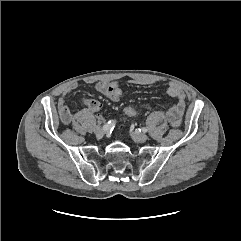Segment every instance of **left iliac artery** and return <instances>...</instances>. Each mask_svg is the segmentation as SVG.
Segmentation results:
<instances>
[{"instance_id": "obj_1", "label": "left iliac artery", "mask_w": 241, "mask_h": 241, "mask_svg": "<svg viewBox=\"0 0 241 241\" xmlns=\"http://www.w3.org/2000/svg\"><path fill=\"white\" fill-rule=\"evenodd\" d=\"M142 131H143V132H147V128H145V127L142 128Z\"/></svg>"}]
</instances>
